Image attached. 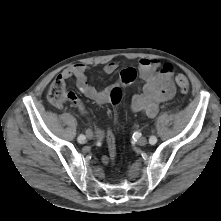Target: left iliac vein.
<instances>
[{
    "mask_svg": "<svg viewBox=\"0 0 221 221\" xmlns=\"http://www.w3.org/2000/svg\"><path fill=\"white\" fill-rule=\"evenodd\" d=\"M137 144L140 146H144L147 144V139L145 137H141L138 139Z\"/></svg>",
    "mask_w": 221,
    "mask_h": 221,
    "instance_id": "left-iliac-vein-1",
    "label": "left iliac vein"
}]
</instances>
